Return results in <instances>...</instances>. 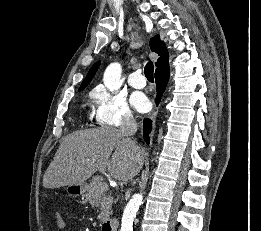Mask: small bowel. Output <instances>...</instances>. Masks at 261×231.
Segmentation results:
<instances>
[{
	"mask_svg": "<svg viewBox=\"0 0 261 231\" xmlns=\"http://www.w3.org/2000/svg\"><path fill=\"white\" fill-rule=\"evenodd\" d=\"M55 223L59 229H64L66 224L61 215L55 216Z\"/></svg>",
	"mask_w": 261,
	"mask_h": 231,
	"instance_id": "obj_1",
	"label": "small bowel"
}]
</instances>
